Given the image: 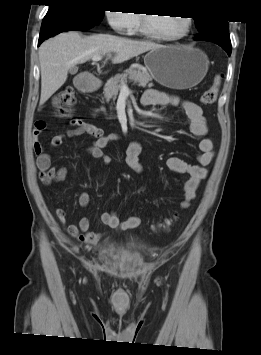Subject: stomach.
<instances>
[{
	"label": "stomach",
	"instance_id": "0dacf381",
	"mask_svg": "<svg viewBox=\"0 0 261 355\" xmlns=\"http://www.w3.org/2000/svg\"><path fill=\"white\" fill-rule=\"evenodd\" d=\"M144 63L151 76L172 89H187L200 83L208 71V57L190 45L162 46L150 50ZM96 83L92 82L91 87Z\"/></svg>",
	"mask_w": 261,
	"mask_h": 355
}]
</instances>
